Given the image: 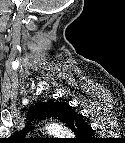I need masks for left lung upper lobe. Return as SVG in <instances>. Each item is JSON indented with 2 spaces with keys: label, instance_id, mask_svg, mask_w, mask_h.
<instances>
[{
  "label": "left lung upper lobe",
  "instance_id": "obj_1",
  "mask_svg": "<svg viewBox=\"0 0 125 143\" xmlns=\"http://www.w3.org/2000/svg\"><path fill=\"white\" fill-rule=\"evenodd\" d=\"M67 103L65 102H55L53 99H50L48 102H38L34 106H32L28 111L29 119L39 118L44 120L46 118H56L60 121L65 122V106ZM70 129L77 135L82 136V134L86 135L90 134L91 127L85 123L84 120L73 123ZM32 128L26 127L23 131L19 133H15L11 136L12 139L21 138L23 139L25 134L31 131Z\"/></svg>",
  "mask_w": 125,
  "mask_h": 143
}]
</instances>
